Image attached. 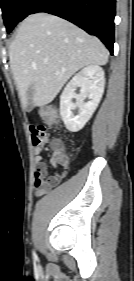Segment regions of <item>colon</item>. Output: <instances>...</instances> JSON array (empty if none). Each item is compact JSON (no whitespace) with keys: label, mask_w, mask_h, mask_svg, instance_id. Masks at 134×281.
I'll list each match as a JSON object with an SVG mask.
<instances>
[{"label":"colon","mask_w":134,"mask_h":281,"mask_svg":"<svg viewBox=\"0 0 134 281\" xmlns=\"http://www.w3.org/2000/svg\"><path fill=\"white\" fill-rule=\"evenodd\" d=\"M42 116L50 125H55L58 122V114L53 107L47 106L42 109ZM52 154L55 155L58 162L62 165L67 163V156L63 144L59 140L52 143Z\"/></svg>","instance_id":"colon-1"}]
</instances>
